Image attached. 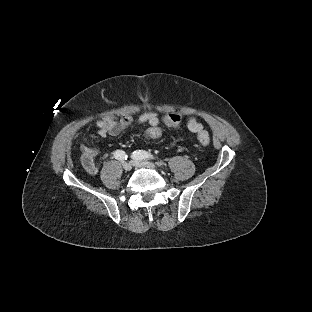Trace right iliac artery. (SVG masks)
<instances>
[{"instance_id": "right-iliac-artery-1", "label": "right iliac artery", "mask_w": 312, "mask_h": 312, "mask_svg": "<svg viewBox=\"0 0 312 312\" xmlns=\"http://www.w3.org/2000/svg\"><path fill=\"white\" fill-rule=\"evenodd\" d=\"M114 157L119 160H127L128 156L123 150H117L114 152Z\"/></svg>"}]
</instances>
